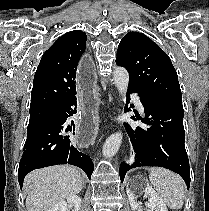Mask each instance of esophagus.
<instances>
[{"instance_id":"obj_1","label":"esophagus","mask_w":209,"mask_h":211,"mask_svg":"<svg viewBox=\"0 0 209 211\" xmlns=\"http://www.w3.org/2000/svg\"><path fill=\"white\" fill-rule=\"evenodd\" d=\"M94 69L95 64L91 56H82V64L75 74L78 87L75 93V98H78V101H75L78 119H76V133L72 136L75 145H94L98 132L97 119H95L98 116V101Z\"/></svg>"}]
</instances>
